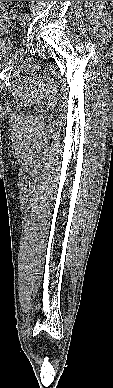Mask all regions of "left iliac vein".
Wrapping results in <instances>:
<instances>
[{
    "mask_svg": "<svg viewBox=\"0 0 113 388\" xmlns=\"http://www.w3.org/2000/svg\"><path fill=\"white\" fill-rule=\"evenodd\" d=\"M28 17H27V15L26 14H21L20 16H19V21H20V24L21 25H25L27 22H28Z\"/></svg>",
    "mask_w": 113,
    "mask_h": 388,
    "instance_id": "left-iliac-vein-1",
    "label": "left iliac vein"
}]
</instances>
